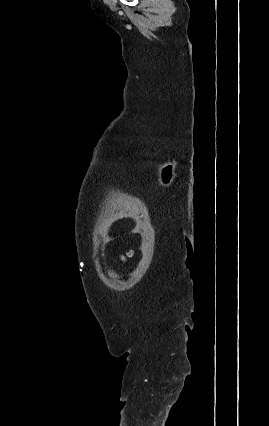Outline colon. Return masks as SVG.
<instances>
[{
  "instance_id": "obj_1",
  "label": "colon",
  "mask_w": 269,
  "mask_h": 426,
  "mask_svg": "<svg viewBox=\"0 0 269 426\" xmlns=\"http://www.w3.org/2000/svg\"><path fill=\"white\" fill-rule=\"evenodd\" d=\"M131 256H132V253H131V252H128L126 255L121 256V257H120V260H121V261H124V260H126L127 258H130Z\"/></svg>"
}]
</instances>
